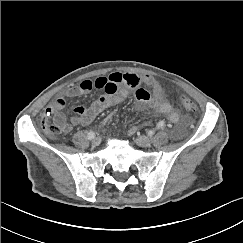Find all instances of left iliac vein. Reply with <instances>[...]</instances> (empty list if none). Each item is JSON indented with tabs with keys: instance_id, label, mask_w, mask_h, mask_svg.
Segmentation results:
<instances>
[{
	"instance_id": "obj_1",
	"label": "left iliac vein",
	"mask_w": 243,
	"mask_h": 243,
	"mask_svg": "<svg viewBox=\"0 0 243 243\" xmlns=\"http://www.w3.org/2000/svg\"><path fill=\"white\" fill-rule=\"evenodd\" d=\"M136 143L141 147H150L152 140L149 137L142 135L136 138Z\"/></svg>"
}]
</instances>
